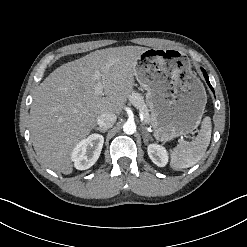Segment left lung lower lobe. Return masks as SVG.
Here are the masks:
<instances>
[{"label":"left lung lower lobe","instance_id":"left-lung-lower-lobe-1","mask_svg":"<svg viewBox=\"0 0 247 247\" xmlns=\"http://www.w3.org/2000/svg\"><path fill=\"white\" fill-rule=\"evenodd\" d=\"M202 71H203L204 77H205V79H206V82L208 83V85H209V87L211 88V90L214 92V89H213V87L211 86V84H210V82H209L208 75L206 74V72H205L204 69H202Z\"/></svg>","mask_w":247,"mask_h":247}]
</instances>
